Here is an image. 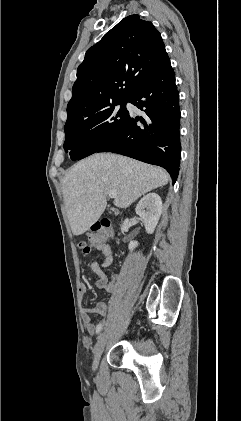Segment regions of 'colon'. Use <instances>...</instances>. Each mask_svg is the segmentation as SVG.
<instances>
[{
    "label": "colon",
    "mask_w": 241,
    "mask_h": 421,
    "mask_svg": "<svg viewBox=\"0 0 241 421\" xmlns=\"http://www.w3.org/2000/svg\"><path fill=\"white\" fill-rule=\"evenodd\" d=\"M112 226L110 221L103 220L97 222L92 227V234L89 237V241H82L78 244V248L84 255H89L92 252L93 247L104 243L112 235Z\"/></svg>",
    "instance_id": "obj_1"
}]
</instances>
